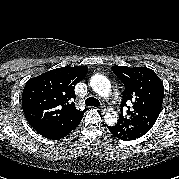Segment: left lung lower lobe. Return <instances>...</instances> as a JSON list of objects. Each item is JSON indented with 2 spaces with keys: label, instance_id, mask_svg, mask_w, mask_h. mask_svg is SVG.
<instances>
[{
  "label": "left lung lower lobe",
  "instance_id": "0a47b994",
  "mask_svg": "<svg viewBox=\"0 0 179 179\" xmlns=\"http://www.w3.org/2000/svg\"><path fill=\"white\" fill-rule=\"evenodd\" d=\"M107 128L112 132V134H114V130H113V128L112 127H110V126H107ZM120 139V138H119ZM122 140H124V139H122ZM125 141V140H124Z\"/></svg>",
  "mask_w": 179,
  "mask_h": 179
}]
</instances>
